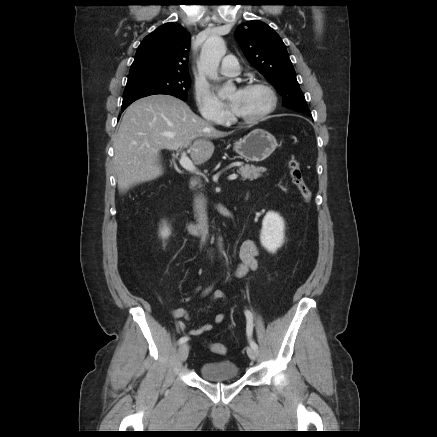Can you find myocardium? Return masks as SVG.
Instances as JSON below:
<instances>
[{
    "mask_svg": "<svg viewBox=\"0 0 437 437\" xmlns=\"http://www.w3.org/2000/svg\"><path fill=\"white\" fill-rule=\"evenodd\" d=\"M244 88L263 89L267 93L269 101L266 108L258 115H255L253 117H241L233 112L232 114L233 121L241 122L245 124H255L267 118L274 111L277 105V95L274 89L268 83L262 81H250L245 84Z\"/></svg>",
    "mask_w": 437,
    "mask_h": 437,
    "instance_id": "obj_1",
    "label": "myocardium"
}]
</instances>
